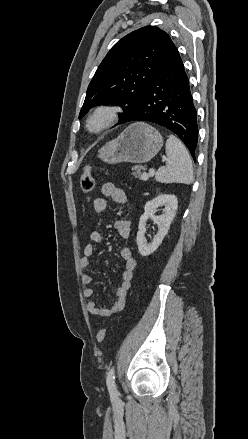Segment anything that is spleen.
Masks as SVG:
<instances>
[{"label":"spleen","instance_id":"spleen-1","mask_svg":"<svg viewBox=\"0 0 248 439\" xmlns=\"http://www.w3.org/2000/svg\"><path fill=\"white\" fill-rule=\"evenodd\" d=\"M166 155L170 162L160 167L155 178L160 183L192 184L194 181L190 155L184 144L174 135L166 141Z\"/></svg>","mask_w":248,"mask_h":439}]
</instances>
